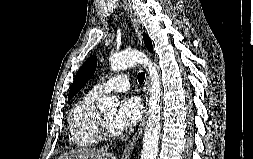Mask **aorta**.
Here are the masks:
<instances>
[{
	"instance_id": "aorta-1",
	"label": "aorta",
	"mask_w": 253,
	"mask_h": 159,
	"mask_svg": "<svg viewBox=\"0 0 253 159\" xmlns=\"http://www.w3.org/2000/svg\"><path fill=\"white\" fill-rule=\"evenodd\" d=\"M143 64L148 68L150 77V99L148 119L143 137L141 159H156L160 138L161 120V78L157 68L148 57L135 50H125L115 53L110 57V66L114 71L123 70L127 67ZM98 108L101 111H113L118 106L116 97L104 96L98 100Z\"/></svg>"
}]
</instances>
